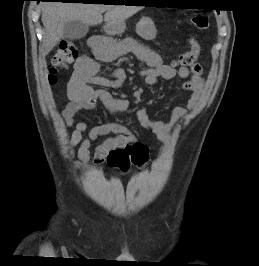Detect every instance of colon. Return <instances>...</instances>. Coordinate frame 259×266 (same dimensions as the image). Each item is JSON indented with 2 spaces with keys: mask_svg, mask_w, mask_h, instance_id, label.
<instances>
[{
  "mask_svg": "<svg viewBox=\"0 0 259 266\" xmlns=\"http://www.w3.org/2000/svg\"><path fill=\"white\" fill-rule=\"evenodd\" d=\"M192 23L198 30H207L209 26L208 18L203 14H196L192 17ZM200 53V45L197 41H190V48L181 54L175 61L176 66L192 67L196 64ZM79 56L77 46L69 40L60 42L49 68V81L54 84L61 70L73 63ZM148 161V149L140 142L127 145L123 148L113 150L108 156V164L127 171L130 166L142 167Z\"/></svg>",
  "mask_w": 259,
  "mask_h": 266,
  "instance_id": "obj_1",
  "label": "colon"
}]
</instances>
